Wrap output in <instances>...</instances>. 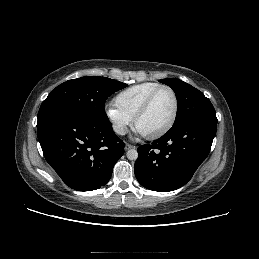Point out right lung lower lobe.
Here are the masks:
<instances>
[{
  "label": "right lung lower lobe",
  "mask_w": 259,
  "mask_h": 259,
  "mask_svg": "<svg viewBox=\"0 0 259 259\" xmlns=\"http://www.w3.org/2000/svg\"><path fill=\"white\" fill-rule=\"evenodd\" d=\"M37 135L46 161L64 183L78 191H92L111 178L124 153V142L109 120L62 112L37 122Z\"/></svg>",
  "instance_id": "1"
}]
</instances>
